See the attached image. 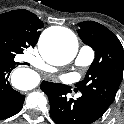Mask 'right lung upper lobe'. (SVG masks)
<instances>
[{
  "instance_id": "1",
  "label": "right lung upper lobe",
  "mask_w": 124,
  "mask_h": 124,
  "mask_svg": "<svg viewBox=\"0 0 124 124\" xmlns=\"http://www.w3.org/2000/svg\"><path fill=\"white\" fill-rule=\"evenodd\" d=\"M0 25L18 34L27 47H34L41 34L43 22L27 10H13L0 15Z\"/></svg>"
}]
</instances>
